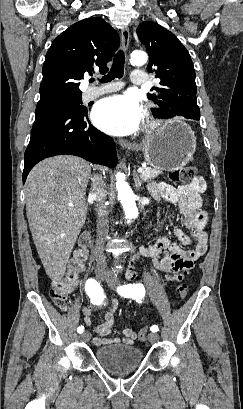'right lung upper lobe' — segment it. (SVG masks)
<instances>
[{
    "label": "right lung upper lobe",
    "instance_id": "right-lung-upper-lobe-1",
    "mask_svg": "<svg viewBox=\"0 0 243 409\" xmlns=\"http://www.w3.org/2000/svg\"><path fill=\"white\" fill-rule=\"evenodd\" d=\"M118 47L117 32L102 18L71 25L54 39L46 54L39 102L81 95L79 81L92 74L93 66L108 71L106 64Z\"/></svg>",
    "mask_w": 243,
    "mask_h": 409
}]
</instances>
